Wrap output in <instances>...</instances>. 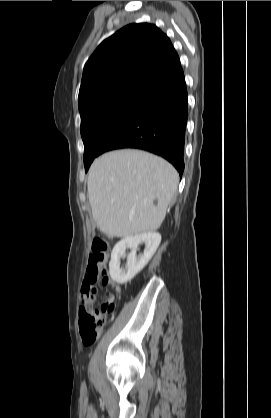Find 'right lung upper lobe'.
I'll return each mask as SVG.
<instances>
[{
  "instance_id": "right-lung-upper-lobe-1",
  "label": "right lung upper lobe",
  "mask_w": 271,
  "mask_h": 418,
  "mask_svg": "<svg viewBox=\"0 0 271 418\" xmlns=\"http://www.w3.org/2000/svg\"><path fill=\"white\" fill-rule=\"evenodd\" d=\"M183 75L166 34L147 23L128 25L104 40L86 62L79 110L123 94L153 100Z\"/></svg>"
}]
</instances>
